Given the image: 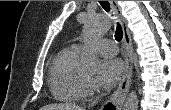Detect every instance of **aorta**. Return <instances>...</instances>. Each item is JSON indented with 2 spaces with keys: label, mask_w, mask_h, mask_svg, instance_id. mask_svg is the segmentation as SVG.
<instances>
[{
  "label": "aorta",
  "mask_w": 171,
  "mask_h": 110,
  "mask_svg": "<svg viewBox=\"0 0 171 110\" xmlns=\"http://www.w3.org/2000/svg\"><path fill=\"white\" fill-rule=\"evenodd\" d=\"M111 27V21L104 15H92L88 17L84 25L86 49L81 59V68L83 71L93 73L97 68V57L95 53L88 48V45L97 38L104 35ZM138 96L136 91L132 90L124 103L122 110H138Z\"/></svg>",
  "instance_id": "aorta-1"
}]
</instances>
